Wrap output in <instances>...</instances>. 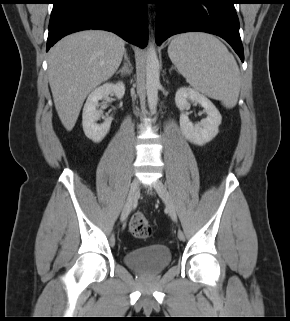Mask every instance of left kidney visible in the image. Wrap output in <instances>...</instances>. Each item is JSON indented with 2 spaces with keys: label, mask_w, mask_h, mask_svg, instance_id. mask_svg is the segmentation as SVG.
<instances>
[{
  "label": "left kidney",
  "mask_w": 290,
  "mask_h": 321,
  "mask_svg": "<svg viewBox=\"0 0 290 321\" xmlns=\"http://www.w3.org/2000/svg\"><path fill=\"white\" fill-rule=\"evenodd\" d=\"M189 101L199 103L205 110L207 117L194 125L184 112L190 104ZM175 103L180 114V128L185 138L193 144L204 145L210 142L217 134L221 124V114L214 104L198 91L182 87L177 90Z\"/></svg>",
  "instance_id": "5707ae66"
}]
</instances>
